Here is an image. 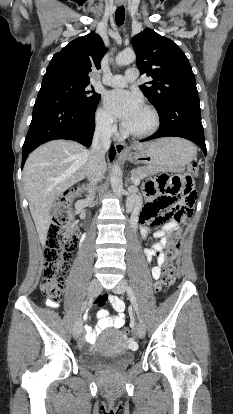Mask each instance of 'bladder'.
<instances>
[{"label": "bladder", "instance_id": "1", "mask_svg": "<svg viewBox=\"0 0 233 414\" xmlns=\"http://www.w3.org/2000/svg\"><path fill=\"white\" fill-rule=\"evenodd\" d=\"M134 355L125 349V339L118 330L106 332L90 351L82 352L79 361L90 368L130 364Z\"/></svg>", "mask_w": 233, "mask_h": 414}]
</instances>
